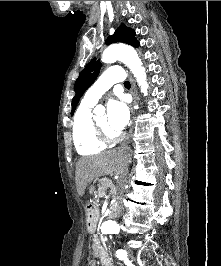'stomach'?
Returning <instances> with one entry per match:
<instances>
[{"instance_id": "stomach-1", "label": "stomach", "mask_w": 221, "mask_h": 266, "mask_svg": "<svg viewBox=\"0 0 221 266\" xmlns=\"http://www.w3.org/2000/svg\"><path fill=\"white\" fill-rule=\"evenodd\" d=\"M89 192H90V194L95 193L93 186H91L89 188ZM96 219H97V211L95 210V208L89 209L88 212H87V221H88V223L92 225L95 222Z\"/></svg>"}]
</instances>
